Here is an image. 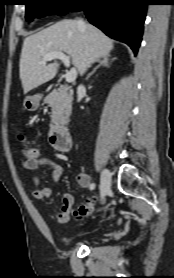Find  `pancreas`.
Masks as SVG:
<instances>
[{"label":"pancreas","instance_id":"cf45deb5","mask_svg":"<svg viewBox=\"0 0 174 278\" xmlns=\"http://www.w3.org/2000/svg\"><path fill=\"white\" fill-rule=\"evenodd\" d=\"M73 96L65 86L53 90L46 98L45 102L51 106L52 122L66 123L71 113Z\"/></svg>","mask_w":174,"mask_h":278}]
</instances>
